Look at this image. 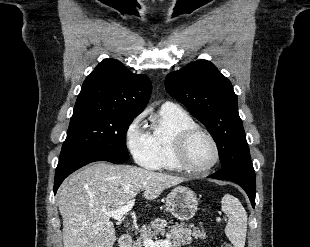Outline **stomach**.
I'll use <instances>...</instances> for the list:
<instances>
[{"label": "stomach", "mask_w": 310, "mask_h": 247, "mask_svg": "<svg viewBox=\"0 0 310 247\" xmlns=\"http://www.w3.org/2000/svg\"><path fill=\"white\" fill-rule=\"evenodd\" d=\"M166 209L178 220H190L198 209L197 196L188 187H176L166 197Z\"/></svg>", "instance_id": "0dacf381"}]
</instances>
